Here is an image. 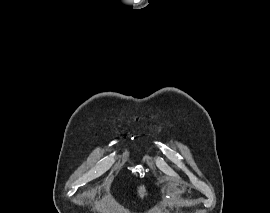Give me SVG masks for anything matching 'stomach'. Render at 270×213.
Here are the masks:
<instances>
[{
  "label": "stomach",
  "mask_w": 270,
  "mask_h": 213,
  "mask_svg": "<svg viewBox=\"0 0 270 213\" xmlns=\"http://www.w3.org/2000/svg\"><path fill=\"white\" fill-rule=\"evenodd\" d=\"M164 190L166 191H172V196L174 197H179L182 194H184L186 192V187L181 184V183H177V182H168L165 186H164ZM137 193L140 197H144L146 195V188L144 185H140L138 187Z\"/></svg>",
  "instance_id": "obj_1"
}]
</instances>
